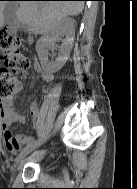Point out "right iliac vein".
<instances>
[{
    "mask_svg": "<svg viewBox=\"0 0 137 189\" xmlns=\"http://www.w3.org/2000/svg\"><path fill=\"white\" fill-rule=\"evenodd\" d=\"M44 142V140H40V141H34L32 144H30L29 146H27L26 148H24L19 155L16 157L15 162L12 166V173L14 174L17 169L20 166V163L22 162V160L33 150H35L36 148H38L42 143Z\"/></svg>",
    "mask_w": 137,
    "mask_h": 189,
    "instance_id": "obj_1",
    "label": "right iliac vein"
}]
</instances>
